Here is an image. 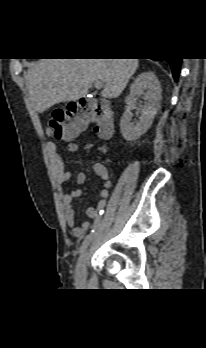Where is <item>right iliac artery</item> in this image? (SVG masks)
Instances as JSON below:
<instances>
[{"label": "right iliac artery", "instance_id": "1", "mask_svg": "<svg viewBox=\"0 0 206 348\" xmlns=\"http://www.w3.org/2000/svg\"><path fill=\"white\" fill-rule=\"evenodd\" d=\"M107 206V199L105 198H101L100 199V202H97V213H96V217H95V225H94V228L92 229L91 233L89 235L86 236V238L84 239V241L82 242L81 244V247H80V254H82L86 248L88 247L90 241L92 240L93 238V235L97 229V227L99 226V222L103 219V214H104V209L105 207Z\"/></svg>", "mask_w": 206, "mask_h": 348}]
</instances>
